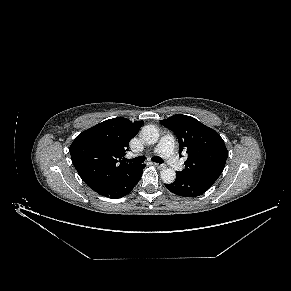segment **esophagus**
Returning a JSON list of instances; mask_svg holds the SVG:
<instances>
[{"mask_svg":"<svg viewBox=\"0 0 291 291\" xmlns=\"http://www.w3.org/2000/svg\"><path fill=\"white\" fill-rule=\"evenodd\" d=\"M155 166L158 168V169H164L165 168V165L164 164H158V163H155Z\"/></svg>","mask_w":291,"mask_h":291,"instance_id":"1","label":"esophagus"}]
</instances>
